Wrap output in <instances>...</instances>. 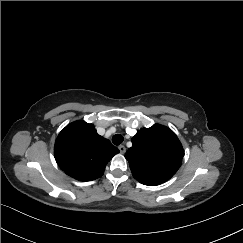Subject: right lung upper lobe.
Segmentation results:
<instances>
[{"label":"right lung upper lobe","mask_w":243,"mask_h":243,"mask_svg":"<svg viewBox=\"0 0 243 243\" xmlns=\"http://www.w3.org/2000/svg\"><path fill=\"white\" fill-rule=\"evenodd\" d=\"M119 150L97 134L93 124L75 121L58 135L54 155L59 167L79 181L101 177L105 166Z\"/></svg>","instance_id":"cb5924a9"}]
</instances>
